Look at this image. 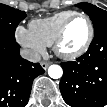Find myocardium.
Listing matches in <instances>:
<instances>
[{
  "label": "myocardium",
  "instance_id": "obj_1",
  "mask_svg": "<svg viewBox=\"0 0 107 107\" xmlns=\"http://www.w3.org/2000/svg\"><path fill=\"white\" fill-rule=\"evenodd\" d=\"M75 18H83L87 22L89 28L88 36L84 44L78 50L73 52H65L62 50V44L65 39L67 28ZM93 38H94V27L91 19L84 13H75L63 23L52 46L55 54L58 57L64 60H75L82 56L88 50L93 41Z\"/></svg>",
  "mask_w": 107,
  "mask_h": 107
}]
</instances>
